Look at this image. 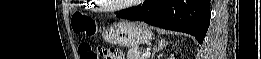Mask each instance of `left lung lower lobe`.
I'll return each mask as SVG.
<instances>
[{"instance_id":"0a47b994","label":"left lung lower lobe","mask_w":261,"mask_h":59,"mask_svg":"<svg viewBox=\"0 0 261 59\" xmlns=\"http://www.w3.org/2000/svg\"><path fill=\"white\" fill-rule=\"evenodd\" d=\"M117 17L188 33L201 44L210 24V0H145L138 7L119 12Z\"/></svg>"}]
</instances>
